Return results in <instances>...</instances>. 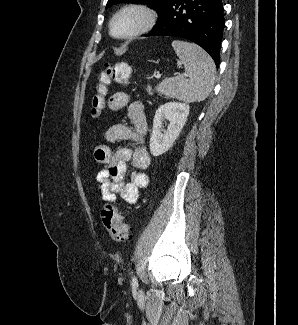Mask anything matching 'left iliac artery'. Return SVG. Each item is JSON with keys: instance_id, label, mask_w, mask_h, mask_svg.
I'll return each instance as SVG.
<instances>
[{"instance_id": "1", "label": "left iliac artery", "mask_w": 298, "mask_h": 325, "mask_svg": "<svg viewBox=\"0 0 298 325\" xmlns=\"http://www.w3.org/2000/svg\"><path fill=\"white\" fill-rule=\"evenodd\" d=\"M131 285H132L134 288H137V287H138V280H137V277L134 276V277L132 278Z\"/></svg>"}]
</instances>
